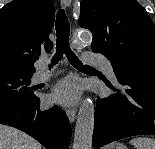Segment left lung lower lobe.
Masks as SVG:
<instances>
[{"mask_svg":"<svg viewBox=\"0 0 155 149\" xmlns=\"http://www.w3.org/2000/svg\"><path fill=\"white\" fill-rule=\"evenodd\" d=\"M111 64L125 90L97 99L94 148L129 136L155 135V60H111Z\"/></svg>","mask_w":155,"mask_h":149,"instance_id":"0a47b994","label":"left lung lower lobe"}]
</instances>
